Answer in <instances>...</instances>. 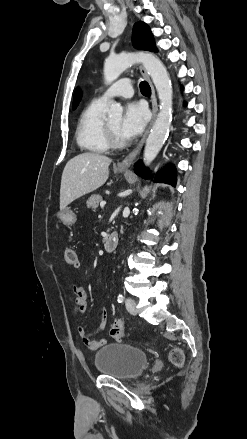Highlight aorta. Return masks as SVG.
Instances as JSON below:
<instances>
[{"label":"aorta","instance_id":"obj_1","mask_svg":"<svg viewBox=\"0 0 247 439\" xmlns=\"http://www.w3.org/2000/svg\"><path fill=\"white\" fill-rule=\"evenodd\" d=\"M141 62L150 75L160 100V111L146 140L144 162L149 165L161 150L169 133L172 120L173 90L169 74L163 63L149 53H121L108 57L104 63V79L107 84L115 81L120 74L133 64ZM123 108L112 101L108 110L110 118L122 116Z\"/></svg>","mask_w":247,"mask_h":439}]
</instances>
